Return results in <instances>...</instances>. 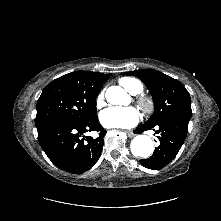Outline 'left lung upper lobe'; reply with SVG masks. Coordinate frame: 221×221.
Listing matches in <instances>:
<instances>
[{"label": "left lung upper lobe", "mask_w": 221, "mask_h": 221, "mask_svg": "<svg viewBox=\"0 0 221 221\" xmlns=\"http://www.w3.org/2000/svg\"><path fill=\"white\" fill-rule=\"evenodd\" d=\"M144 82L154 101V113L144 124L155 125L173 118L190 120L192 116L189 92L178 80L154 69L124 72Z\"/></svg>", "instance_id": "5c2ea615"}]
</instances>
